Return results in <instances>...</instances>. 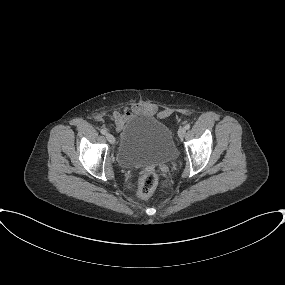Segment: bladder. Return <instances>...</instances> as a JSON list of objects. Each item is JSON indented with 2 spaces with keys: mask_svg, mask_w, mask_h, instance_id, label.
I'll return each mask as SVG.
<instances>
[{
  "mask_svg": "<svg viewBox=\"0 0 285 285\" xmlns=\"http://www.w3.org/2000/svg\"><path fill=\"white\" fill-rule=\"evenodd\" d=\"M177 156L170 128L156 116L135 112L126 121L118 147V162L122 167L171 163Z\"/></svg>",
  "mask_w": 285,
  "mask_h": 285,
  "instance_id": "31cf9c89",
  "label": "bladder"
}]
</instances>
